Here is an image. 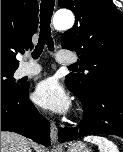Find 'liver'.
<instances>
[{
  "label": "liver",
  "instance_id": "1",
  "mask_svg": "<svg viewBox=\"0 0 123 152\" xmlns=\"http://www.w3.org/2000/svg\"><path fill=\"white\" fill-rule=\"evenodd\" d=\"M32 142L13 132H1V152H29ZM38 152L42 149L36 146Z\"/></svg>",
  "mask_w": 123,
  "mask_h": 152
}]
</instances>
